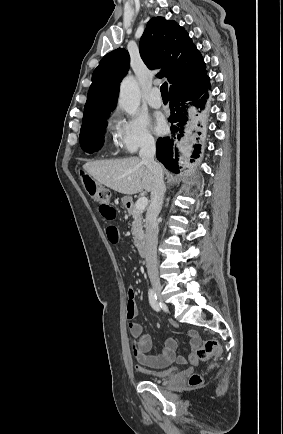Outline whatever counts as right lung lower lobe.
<instances>
[{"mask_svg":"<svg viewBox=\"0 0 283 434\" xmlns=\"http://www.w3.org/2000/svg\"><path fill=\"white\" fill-rule=\"evenodd\" d=\"M210 90V78L206 76L204 80L194 87L170 91L171 115L168 120L172 123V135L158 139L156 157L168 170L174 173H179L177 144L178 140L184 135V126L188 121L187 108L194 105L202 109ZM200 147V144L195 145L193 158L199 157Z\"/></svg>","mask_w":283,"mask_h":434,"instance_id":"98d812e1","label":"right lung lower lobe"}]
</instances>
